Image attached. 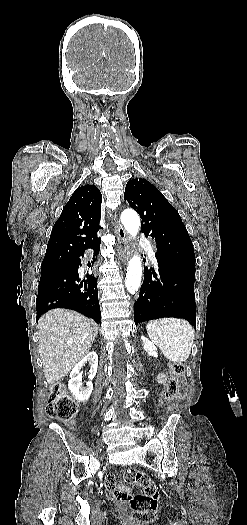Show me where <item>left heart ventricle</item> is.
Returning a JSON list of instances; mask_svg holds the SVG:
<instances>
[{"instance_id":"left-heart-ventricle-1","label":"left heart ventricle","mask_w":247,"mask_h":525,"mask_svg":"<svg viewBox=\"0 0 247 525\" xmlns=\"http://www.w3.org/2000/svg\"><path fill=\"white\" fill-rule=\"evenodd\" d=\"M138 265H139V264H131V267H133V268H138Z\"/></svg>"}]
</instances>
